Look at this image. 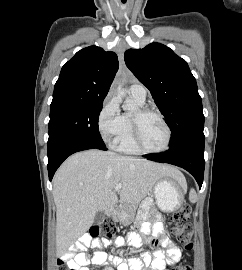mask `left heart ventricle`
<instances>
[{
    "label": "left heart ventricle",
    "instance_id": "left-heart-ventricle-1",
    "mask_svg": "<svg viewBox=\"0 0 242 270\" xmlns=\"http://www.w3.org/2000/svg\"><path fill=\"white\" fill-rule=\"evenodd\" d=\"M141 139L148 149H160L166 142V130L158 117L149 115L141 122Z\"/></svg>",
    "mask_w": 242,
    "mask_h": 270
}]
</instances>
